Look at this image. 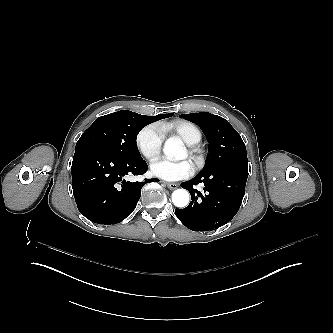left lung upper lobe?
<instances>
[{"label":"left lung upper lobe","instance_id":"left-lung-upper-lobe-1","mask_svg":"<svg viewBox=\"0 0 333 333\" xmlns=\"http://www.w3.org/2000/svg\"><path fill=\"white\" fill-rule=\"evenodd\" d=\"M180 117L200 126L209 142V157L199 175H209L229 163L248 162L244 142L226 119L207 112L182 114Z\"/></svg>","mask_w":333,"mask_h":333}]
</instances>
